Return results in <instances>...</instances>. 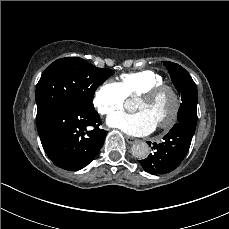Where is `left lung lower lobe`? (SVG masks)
<instances>
[{
  "instance_id": "0a47b994",
  "label": "left lung lower lobe",
  "mask_w": 229,
  "mask_h": 229,
  "mask_svg": "<svg viewBox=\"0 0 229 229\" xmlns=\"http://www.w3.org/2000/svg\"><path fill=\"white\" fill-rule=\"evenodd\" d=\"M197 103L191 102L183 124L177 123L163 137L162 143H153V154L139 163L150 174H165L176 169L188 153L197 123ZM151 144V142H148Z\"/></svg>"
}]
</instances>
